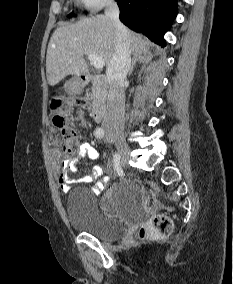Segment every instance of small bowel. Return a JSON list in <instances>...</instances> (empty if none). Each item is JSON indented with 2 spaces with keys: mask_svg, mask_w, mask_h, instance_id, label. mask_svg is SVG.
Wrapping results in <instances>:
<instances>
[{
  "mask_svg": "<svg viewBox=\"0 0 233 284\" xmlns=\"http://www.w3.org/2000/svg\"><path fill=\"white\" fill-rule=\"evenodd\" d=\"M88 157L89 159L96 161L99 158L98 151L94 148V146L86 141H82L79 145L78 152L74 158H67L63 160L61 163L59 174H58V182L62 191L67 192L71 187V180L69 178V173L74 171L75 169V161L78 158ZM101 168L98 166H94L91 170L79 179V182L91 183L97 180L101 175ZM107 183V179H102L95 187V192H100L103 190Z\"/></svg>",
  "mask_w": 233,
  "mask_h": 284,
  "instance_id": "small-bowel-1",
  "label": "small bowel"
}]
</instances>
